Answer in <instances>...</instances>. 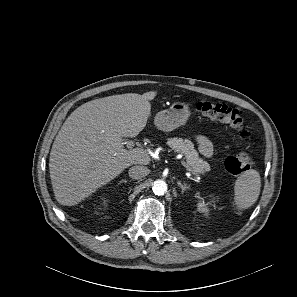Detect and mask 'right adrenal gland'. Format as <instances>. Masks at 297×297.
I'll use <instances>...</instances> for the list:
<instances>
[{
  "mask_svg": "<svg viewBox=\"0 0 297 297\" xmlns=\"http://www.w3.org/2000/svg\"><path fill=\"white\" fill-rule=\"evenodd\" d=\"M128 181L126 179H123L120 181V183H127Z\"/></svg>",
  "mask_w": 297,
  "mask_h": 297,
  "instance_id": "obj_1",
  "label": "right adrenal gland"
}]
</instances>
